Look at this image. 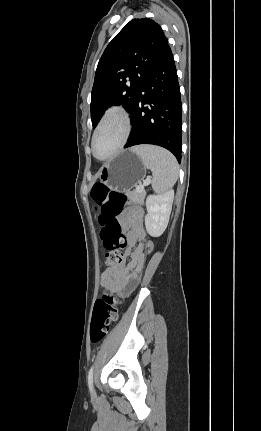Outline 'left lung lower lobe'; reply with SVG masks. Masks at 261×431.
<instances>
[{"label":"left lung lower lobe","mask_w":261,"mask_h":431,"mask_svg":"<svg viewBox=\"0 0 261 431\" xmlns=\"http://www.w3.org/2000/svg\"><path fill=\"white\" fill-rule=\"evenodd\" d=\"M182 111L180 88L169 45L149 68L131 111L132 131L124 148L153 144L181 162Z\"/></svg>","instance_id":"1"}]
</instances>
